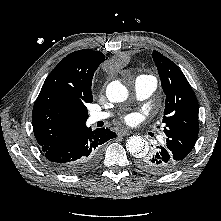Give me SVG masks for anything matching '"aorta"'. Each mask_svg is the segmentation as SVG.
I'll use <instances>...</instances> for the list:
<instances>
[{
  "mask_svg": "<svg viewBox=\"0 0 221 221\" xmlns=\"http://www.w3.org/2000/svg\"><path fill=\"white\" fill-rule=\"evenodd\" d=\"M106 95L110 102H123L128 98V89L119 81L108 84ZM127 151L134 157L141 158L148 152V144L141 136H131L126 142Z\"/></svg>",
  "mask_w": 221,
  "mask_h": 221,
  "instance_id": "aorta-1",
  "label": "aorta"
}]
</instances>
